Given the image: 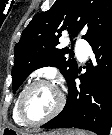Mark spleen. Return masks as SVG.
Returning <instances> with one entry per match:
<instances>
[{"mask_svg": "<svg viewBox=\"0 0 112 135\" xmlns=\"http://www.w3.org/2000/svg\"><path fill=\"white\" fill-rule=\"evenodd\" d=\"M77 135H88V134L85 133V132L80 131V132H77Z\"/></svg>", "mask_w": 112, "mask_h": 135, "instance_id": "spleen-1", "label": "spleen"}]
</instances>
